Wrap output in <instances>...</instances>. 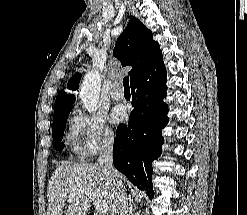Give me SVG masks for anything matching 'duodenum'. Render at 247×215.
I'll list each match as a JSON object with an SVG mask.
<instances>
[{
  "mask_svg": "<svg viewBox=\"0 0 247 215\" xmlns=\"http://www.w3.org/2000/svg\"><path fill=\"white\" fill-rule=\"evenodd\" d=\"M88 215H97V214H95V213H89Z\"/></svg>",
  "mask_w": 247,
  "mask_h": 215,
  "instance_id": "1",
  "label": "duodenum"
}]
</instances>
